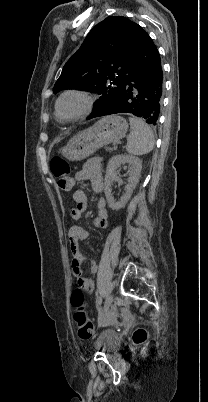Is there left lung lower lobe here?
I'll list each match as a JSON object with an SVG mask.
<instances>
[{
	"label": "left lung lower lobe",
	"instance_id": "left-lung-lower-lobe-1",
	"mask_svg": "<svg viewBox=\"0 0 208 402\" xmlns=\"http://www.w3.org/2000/svg\"><path fill=\"white\" fill-rule=\"evenodd\" d=\"M129 45L130 70L118 86L112 102L95 117L129 113L156 125L163 97V70L158 49L136 23Z\"/></svg>",
	"mask_w": 208,
	"mask_h": 402
}]
</instances>
